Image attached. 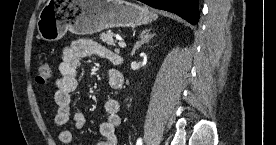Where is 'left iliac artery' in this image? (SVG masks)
Here are the masks:
<instances>
[{
  "label": "left iliac artery",
  "mask_w": 276,
  "mask_h": 145,
  "mask_svg": "<svg viewBox=\"0 0 276 145\" xmlns=\"http://www.w3.org/2000/svg\"><path fill=\"white\" fill-rule=\"evenodd\" d=\"M136 145H142V139H141V138H139V139L137 140Z\"/></svg>",
  "instance_id": "left-iliac-artery-1"
}]
</instances>
